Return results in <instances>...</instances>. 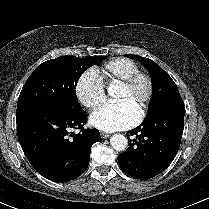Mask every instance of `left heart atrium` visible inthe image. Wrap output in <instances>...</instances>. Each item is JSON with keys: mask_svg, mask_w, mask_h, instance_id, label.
<instances>
[{"mask_svg": "<svg viewBox=\"0 0 209 209\" xmlns=\"http://www.w3.org/2000/svg\"><path fill=\"white\" fill-rule=\"evenodd\" d=\"M138 119L137 111L126 101L106 104L90 117L92 126L105 132L132 127Z\"/></svg>", "mask_w": 209, "mask_h": 209, "instance_id": "1", "label": "left heart atrium"}]
</instances>
